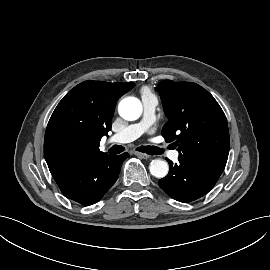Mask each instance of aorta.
I'll list each match as a JSON object with an SVG mask.
<instances>
[{"label": "aorta", "instance_id": "762f6f07", "mask_svg": "<svg viewBox=\"0 0 270 270\" xmlns=\"http://www.w3.org/2000/svg\"><path fill=\"white\" fill-rule=\"evenodd\" d=\"M120 116L128 121L137 120L142 114V104L135 97H126L118 105ZM151 175L156 178H164L168 174L169 166L164 160L155 159L149 166Z\"/></svg>", "mask_w": 270, "mask_h": 270}]
</instances>
